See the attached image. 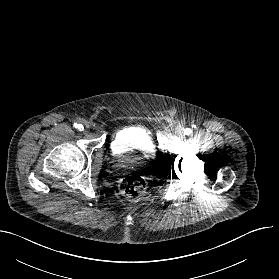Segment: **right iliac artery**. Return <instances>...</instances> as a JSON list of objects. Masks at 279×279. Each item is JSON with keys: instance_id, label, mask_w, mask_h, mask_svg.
<instances>
[{"instance_id": "right-iliac-artery-1", "label": "right iliac artery", "mask_w": 279, "mask_h": 279, "mask_svg": "<svg viewBox=\"0 0 279 279\" xmlns=\"http://www.w3.org/2000/svg\"><path fill=\"white\" fill-rule=\"evenodd\" d=\"M74 127L75 128H78L80 131H82L83 130V126L81 125V124H74Z\"/></svg>"}]
</instances>
